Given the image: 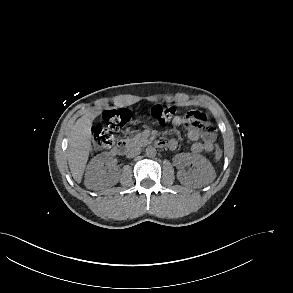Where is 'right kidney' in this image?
Here are the masks:
<instances>
[{"label":"right kidney","instance_id":"ca27d5eb","mask_svg":"<svg viewBox=\"0 0 293 293\" xmlns=\"http://www.w3.org/2000/svg\"><path fill=\"white\" fill-rule=\"evenodd\" d=\"M111 159L102 153L95 156L87 166L85 173V186L88 189H98L101 186H112L118 182L119 173H107L104 165Z\"/></svg>","mask_w":293,"mask_h":293}]
</instances>
